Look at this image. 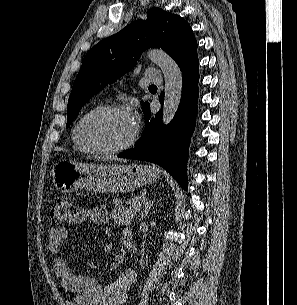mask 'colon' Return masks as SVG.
I'll return each mask as SVG.
<instances>
[{
    "label": "colon",
    "mask_w": 297,
    "mask_h": 305,
    "mask_svg": "<svg viewBox=\"0 0 297 305\" xmlns=\"http://www.w3.org/2000/svg\"><path fill=\"white\" fill-rule=\"evenodd\" d=\"M74 204L65 197H58L51 210L50 218L54 224H63L71 221L75 217Z\"/></svg>",
    "instance_id": "1"
}]
</instances>
